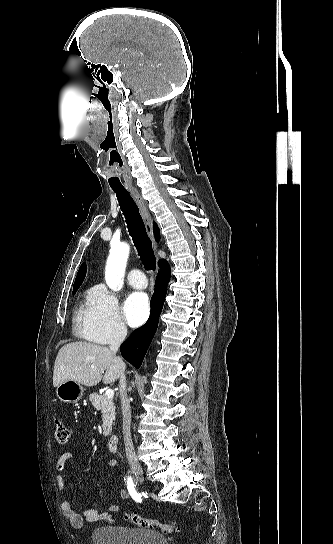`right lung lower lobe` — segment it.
<instances>
[{"mask_svg": "<svg viewBox=\"0 0 333 544\" xmlns=\"http://www.w3.org/2000/svg\"><path fill=\"white\" fill-rule=\"evenodd\" d=\"M169 279L170 268L168 263H166L161 266V271L157 278L155 291L151 298V313L148 321L120 346L122 357L135 366L136 369L141 366L157 330Z\"/></svg>", "mask_w": 333, "mask_h": 544, "instance_id": "98d812e1", "label": "right lung lower lobe"}]
</instances>
